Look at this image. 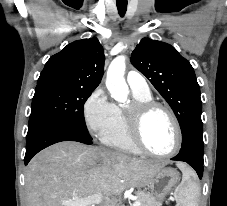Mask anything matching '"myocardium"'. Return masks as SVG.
<instances>
[{"instance_id":"f54148a6","label":"myocardium","mask_w":227,"mask_h":206,"mask_svg":"<svg viewBox=\"0 0 227 206\" xmlns=\"http://www.w3.org/2000/svg\"><path fill=\"white\" fill-rule=\"evenodd\" d=\"M155 110L164 111L171 119L176 133V141L174 148L165 154L156 153L150 150L143 137L144 125L148 116ZM126 118L127 132L131 142L142 153L157 158H168L174 156L181 148L182 145V130L180 123L167 105L155 101H134L130 107L124 112Z\"/></svg>"}]
</instances>
